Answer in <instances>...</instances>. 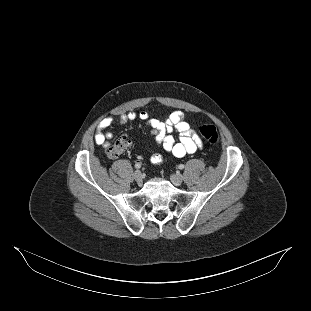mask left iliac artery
Wrapping results in <instances>:
<instances>
[{
    "label": "left iliac artery",
    "mask_w": 311,
    "mask_h": 311,
    "mask_svg": "<svg viewBox=\"0 0 311 311\" xmlns=\"http://www.w3.org/2000/svg\"><path fill=\"white\" fill-rule=\"evenodd\" d=\"M178 168H179V169H183V168H184V165H183V164H180V165L178 166Z\"/></svg>",
    "instance_id": "obj_1"
}]
</instances>
